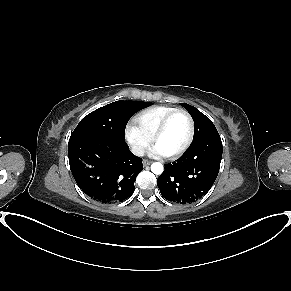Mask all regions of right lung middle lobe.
Here are the masks:
<instances>
[{
	"label": "right lung middle lobe",
	"mask_w": 291,
	"mask_h": 291,
	"mask_svg": "<svg viewBox=\"0 0 291 291\" xmlns=\"http://www.w3.org/2000/svg\"><path fill=\"white\" fill-rule=\"evenodd\" d=\"M150 105L131 101L110 103L85 116L72 132L70 139L94 136L125 141V128L129 119L135 112Z\"/></svg>",
	"instance_id": "1"
}]
</instances>
